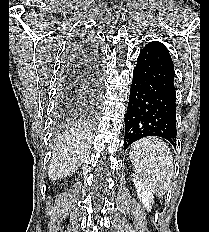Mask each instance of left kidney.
Returning <instances> with one entry per match:
<instances>
[{"label": "left kidney", "instance_id": "obj_1", "mask_svg": "<svg viewBox=\"0 0 209 232\" xmlns=\"http://www.w3.org/2000/svg\"><path fill=\"white\" fill-rule=\"evenodd\" d=\"M132 181L134 183V186L136 188V192L138 195V198L140 199V202L144 205L145 208H147L149 211L151 210V203L154 198V191L147 186L140 178H138L136 175H134V178H132Z\"/></svg>", "mask_w": 209, "mask_h": 232}]
</instances>
